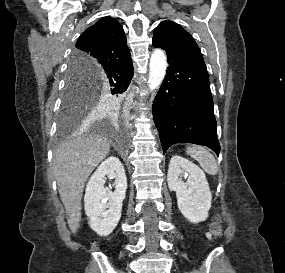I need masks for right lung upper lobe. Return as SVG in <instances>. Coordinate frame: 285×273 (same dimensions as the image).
I'll return each instance as SVG.
<instances>
[{
    "instance_id": "cb5924a9",
    "label": "right lung upper lobe",
    "mask_w": 285,
    "mask_h": 273,
    "mask_svg": "<svg viewBox=\"0 0 285 273\" xmlns=\"http://www.w3.org/2000/svg\"><path fill=\"white\" fill-rule=\"evenodd\" d=\"M129 57L121 24L111 17H103L78 38L70 67L80 76L88 74V78H93L94 72L105 65L122 62Z\"/></svg>"
}]
</instances>
